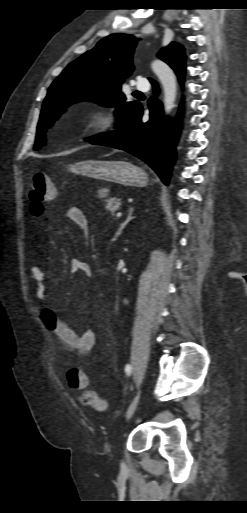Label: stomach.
I'll use <instances>...</instances> for the list:
<instances>
[{
    "mask_svg": "<svg viewBox=\"0 0 247 513\" xmlns=\"http://www.w3.org/2000/svg\"><path fill=\"white\" fill-rule=\"evenodd\" d=\"M71 168L82 175L125 186H142L147 183L145 172L125 160H86L71 165Z\"/></svg>",
    "mask_w": 247,
    "mask_h": 513,
    "instance_id": "stomach-1",
    "label": "stomach"
}]
</instances>
